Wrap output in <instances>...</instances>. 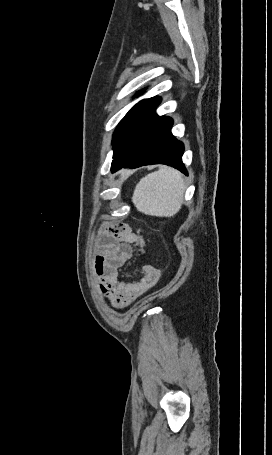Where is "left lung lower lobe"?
<instances>
[{
    "instance_id": "left-lung-lower-lobe-1",
    "label": "left lung lower lobe",
    "mask_w": 272,
    "mask_h": 455,
    "mask_svg": "<svg viewBox=\"0 0 272 455\" xmlns=\"http://www.w3.org/2000/svg\"><path fill=\"white\" fill-rule=\"evenodd\" d=\"M161 99L155 97L122 128L113 144L111 171L166 164L187 175L182 163L184 145L172 134L173 120L155 113Z\"/></svg>"
}]
</instances>
